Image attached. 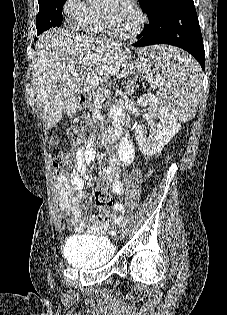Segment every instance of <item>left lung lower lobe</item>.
I'll list each match as a JSON object with an SVG mask.
<instances>
[{"instance_id": "0a47b994", "label": "left lung lower lobe", "mask_w": 227, "mask_h": 315, "mask_svg": "<svg viewBox=\"0 0 227 315\" xmlns=\"http://www.w3.org/2000/svg\"><path fill=\"white\" fill-rule=\"evenodd\" d=\"M140 39L132 44L144 47L154 44H169L192 54L205 68V51L194 2L171 5L149 19Z\"/></svg>"}]
</instances>
